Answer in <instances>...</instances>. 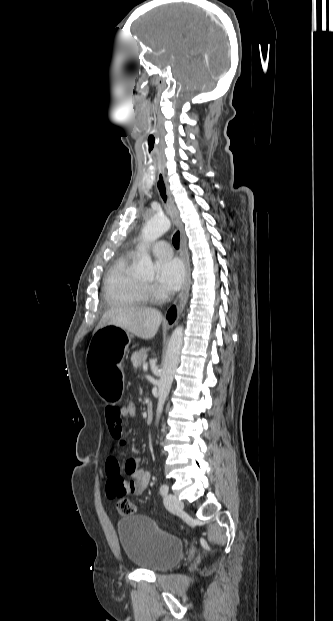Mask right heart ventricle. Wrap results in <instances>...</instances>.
<instances>
[{"instance_id": "e07e8e85", "label": "right heart ventricle", "mask_w": 333, "mask_h": 621, "mask_svg": "<svg viewBox=\"0 0 333 621\" xmlns=\"http://www.w3.org/2000/svg\"><path fill=\"white\" fill-rule=\"evenodd\" d=\"M134 256L127 254L118 258L109 269L104 282L103 294L110 305H145L150 294L148 288L131 273Z\"/></svg>"}]
</instances>
